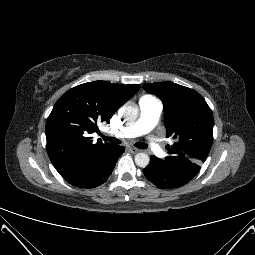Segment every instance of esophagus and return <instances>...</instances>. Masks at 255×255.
<instances>
[{
	"label": "esophagus",
	"instance_id": "1",
	"mask_svg": "<svg viewBox=\"0 0 255 255\" xmlns=\"http://www.w3.org/2000/svg\"><path fill=\"white\" fill-rule=\"evenodd\" d=\"M128 150L131 152V153H138L140 150L138 148H135V147H129Z\"/></svg>",
	"mask_w": 255,
	"mask_h": 255
}]
</instances>
